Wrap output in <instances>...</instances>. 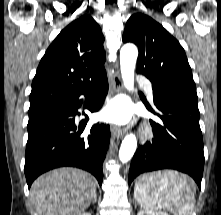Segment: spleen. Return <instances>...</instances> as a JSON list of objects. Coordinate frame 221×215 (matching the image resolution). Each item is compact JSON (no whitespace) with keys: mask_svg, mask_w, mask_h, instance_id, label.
<instances>
[{"mask_svg":"<svg viewBox=\"0 0 221 215\" xmlns=\"http://www.w3.org/2000/svg\"><path fill=\"white\" fill-rule=\"evenodd\" d=\"M148 175V174H146ZM193 181L174 171H165L156 181L152 176L138 178L134 197L149 211L169 210L174 215H191L194 204Z\"/></svg>","mask_w":221,"mask_h":215,"instance_id":"1","label":"spleen"}]
</instances>
